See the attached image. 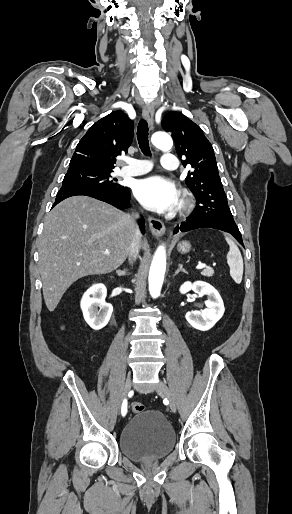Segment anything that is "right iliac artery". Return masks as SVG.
<instances>
[{
  "label": "right iliac artery",
  "mask_w": 292,
  "mask_h": 514,
  "mask_svg": "<svg viewBox=\"0 0 292 514\" xmlns=\"http://www.w3.org/2000/svg\"><path fill=\"white\" fill-rule=\"evenodd\" d=\"M121 413H122V416H125L127 413V400L126 399L123 400Z\"/></svg>",
  "instance_id": "obj_1"
}]
</instances>
